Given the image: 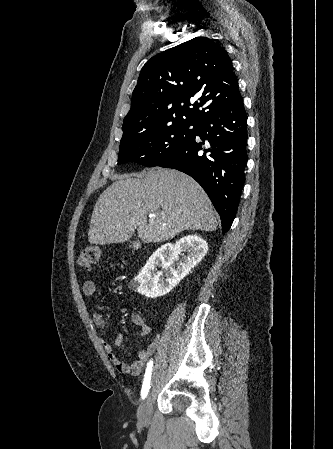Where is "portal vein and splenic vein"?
<instances>
[{"instance_id": "18ae733b", "label": "portal vein and splenic vein", "mask_w": 333, "mask_h": 449, "mask_svg": "<svg viewBox=\"0 0 333 449\" xmlns=\"http://www.w3.org/2000/svg\"><path fill=\"white\" fill-rule=\"evenodd\" d=\"M153 217H155V215L149 214V218H153Z\"/></svg>"}]
</instances>
